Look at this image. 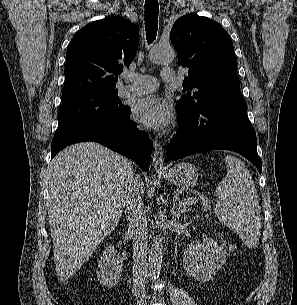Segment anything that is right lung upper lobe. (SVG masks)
Here are the masks:
<instances>
[{"mask_svg":"<svg viewBox=\"0 0 297 305\" xmlns=\"http://www.w3.org/2000/svg\"><path fill=\"white\" fill-rule=\"evenodd\" d=\"M138 44L137 27L121 17L97 20L80 29L66 53L61 99L117 91L118 74L129 67Z\"/></svg>","mask_w":297,"mask_h":305,"instance_id":"1","label":"right lung upper lobe"}]
</instances>
